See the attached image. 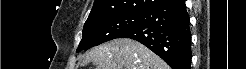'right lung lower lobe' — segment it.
<instances>
[{"label": "right lung lower lobe", "mask_w": 246, "mask_h": 69, "mask_svg": "<svg viewBox=\"0 0 246 69\" xmlns=\"http://www.w3.org/2000/svg\"><path fill=\"white\" fill-rule=\"evenodd\" d=\"M184 0H167L142 13L141 22L119 38L147 46L172 69H190L191 33Z\"/></svg>", "instance_id": "1"}]
</instances>
